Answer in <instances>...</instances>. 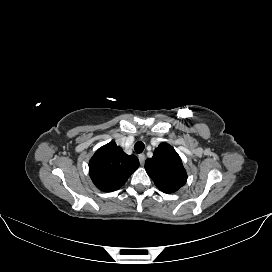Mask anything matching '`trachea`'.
Returning a JSON list of instances; mask_svg holds the SVG:
<instances>
[{
    "instance_id": "3493384b",
    "label": "trachea",
    "mask_w": 272,
    "mask_h": 272,
    "mask_svg": "<svg viewBox=\"0 0 272 272\" xmlns=\"http://www.w3.org/2000/svg\"><path fill=\"white\" fill-rule=\"evenodd\" d=\"M145 148V145L143 142L139 141L134 145V150L136 153H142Z\"/></svg>"
}]
</instances>
